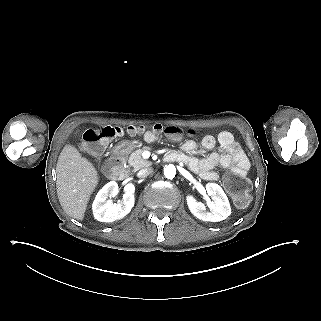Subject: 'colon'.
Masks as SVG:
<instances>
[{"instance_id": "1", "label": "colon", "mask_w": 321, "mask_h": 321, "mask_svg": "<svg viewBox=\"0 0 321 321\" xmlns=\"http://www.w3.org/2000/svg\"><path fill=\"white\" fill-rule=\"evenodd\" d=\"M142 130L141 127L135 126H129L128 128L123 129L119 126L110 125L89 129L83 134L82 148L88 153L99 154L108 140L122 136L125 132L135 135L142 132ZM153 131L154 133L165 132L171 136H179L182 133V130L179 127L167 126L164 128L158 124L153 127ZM188 133L193 135L195 134V131L190 129L188 130ZM223 184L237 206L243 208L249 204L250 181L247 178L246 173L232 171L225 176Z\"/></svg>"}]
</instances>
